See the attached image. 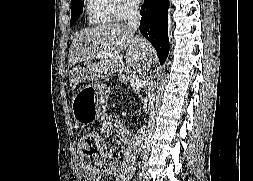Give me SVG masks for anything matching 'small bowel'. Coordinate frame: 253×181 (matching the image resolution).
<instances>
[{
	"instance_id": "c3829d8e",
	"label": "small bowel",
	"mask_w": 253,
	"mask_h": 181,
	"mask_svg": "<svg viewBox=\"0 0 253 181\" xmlns=\"http://www.w3.org/2000/svg\"><path fill=\"white\" fill-rule=\"evenodd\" d=\"M101 133L104 137L118 134L125 142L135 143L133 134L119 120L106 121L101 128ZM135 160L136 151L132 150L127 153L125 161L112 160L106 170L87 176V180L104 181L107 177H113L115 181H130L134 176Z\"/></svg>"
}]
</instances>
